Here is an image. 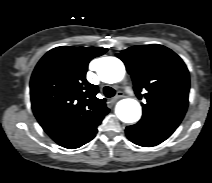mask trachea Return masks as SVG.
Wrapping results in <instances>:
<instances>
[{
    "mask_svg": "<svg viewBox=\"0 0 212 183\" xmlns=\"http://www.w3.org/2000/svg\"><path fill=\"white\" fill-rule=\"evenodd\" d=\"M103 93L107 98L113 97L115 95V90L110 86H105L103 88Z\"/></svg>",
    "mask_w": 212,
    "mask_h": 183,
    "instance_id": "1",
    "label": "trachea"
}]
</instances>
